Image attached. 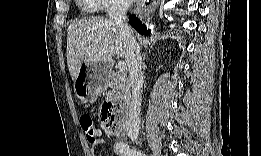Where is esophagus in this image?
<instances>
[{"label":"esophagus","instance_id":"34e87169","mask_svg":"<svg viewBox=\"0 0 261 156\" xmlns=\"http://www.w3.org/2000/svg\"><path fill=\"white\" fill-rule=\"evenodd\" d=\"M157 5H158L157 2L151 3V4H150V8L144 9L143 13H144L145 15L151 14V13L155 10V8L157 7ZM137 10H139V9H137Z\"/></svg>","mask_w":261,"mask_h":156}]
</instances>
